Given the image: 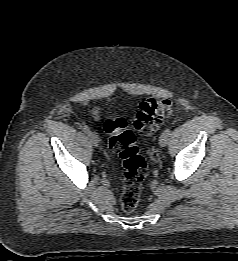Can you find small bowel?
<instances>
[{
    "instance_id": "1",
    "label": "small bowel",
    "mask_w": 238,
    "mask_h": 261,
    "mask_svg": "<svg viewBox=\"0 0 238 261\" xmlns=\"http://www.w3.org/2000/svg\"><path fill=\"white\" fill-rule=\"evenodd\" d=\"M94 116H95V117H98V112H97V110L94 111Z\"/></svg>"
}]
</instances>
